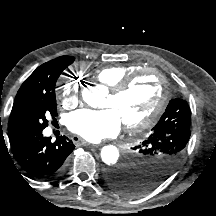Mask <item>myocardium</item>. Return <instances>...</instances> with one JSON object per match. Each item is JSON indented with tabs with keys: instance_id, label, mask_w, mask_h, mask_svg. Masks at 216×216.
<instances>
[{
	"instance_id": "1",
	"label": "myocardium",
	"mask_w": 216,
	"mask_h": 216,
	"mask_svg": "<svg viewBox=\"0 0 216 216\" xmlns=\"http://www.w3.org/2000/svg\"><path fill=\"white\" fill-rule=\"evenodd\" d=\"M146 73H154L158 76L161 84V93L158 98V101L154 108L151 110L149 115L134 124H126L124 123V128L129 133H137L144 131L151 127L158 119L159 115L162 113L163 109L166 106V103L169 99V86H168V80L163 72H161L157 68H144L140 69L132 74H129L125 78H123L120 82H118L115 86L110 88V95L112 97H119L123 93H125L127 90L131 88V86L144 74Z\"/></svg>"
}]
</instances>
